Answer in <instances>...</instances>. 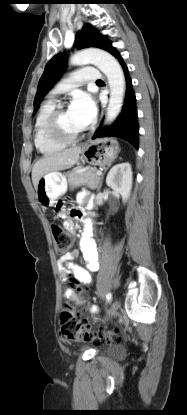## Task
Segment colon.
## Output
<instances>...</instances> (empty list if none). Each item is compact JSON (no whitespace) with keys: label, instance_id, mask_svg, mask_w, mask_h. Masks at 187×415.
Listing matches in <instances>:
<instances>
[{"label":"colon","instance_id":"5ec220e1","mask_svg":"<svg viewBox=\"0 0 187 415\" xmlns=\"http://www.w3.org/2000/svg\"><path fill=\"white\" fill-rule=\"evenodd\" d=\"M52 235L55 241V251L59 256L69 253L74 246V237L60 224L52 225ZM76 288L81 291L82 285L73 279ZM60 335L69 340H95L97 342L119 339L122 335L120 328L94 332L86 326L81 319V311H75L70 307L65 308L60 316Z\"/></svg>","mask_w":187,"mask_h":415}]
</instances>
